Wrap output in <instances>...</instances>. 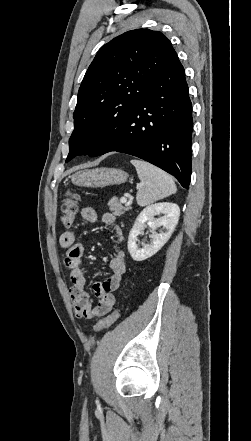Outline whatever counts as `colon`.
I'll return each mask as SVG.
<instances>
[{
    "label": "colon",
    "instance_id": "colon-1",
    "mask_svg": "<svg viewBox=\"0 0 251 441\" xmlns=\"http://www.w3.org/2000/svg\"><path fill=\"white\" fill-rule=\"evenodd\" d=\"M77 209H78V195L73 192H68L61 207L62 210L61 223L65 228H69L73 224L76 217ZM119 316H120L119 310L113 311L108 316L99 320L93 326L92 331L94 333H98L112 326L118 320Z\"/></svg>",
    "mask_w": 251,
    "mask_h": 441
}]
</instances>
